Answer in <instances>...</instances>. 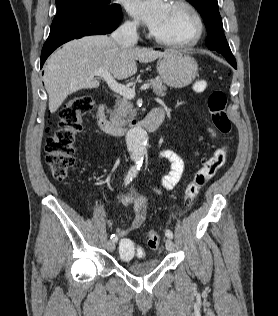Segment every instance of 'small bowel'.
Wrapping results in <instances>:
<instances>
[{"label": "small bowel", "mask_w": 278, "mask_h": 316, "mask_svg": "<svg viewBox=\"0 0 278 316\" xmlns=\"http://www.w3.org/2000/svg\"><path fill=\"white\" fill-rule=\"evenodd\" d=\"M213 137H216L214 130L209 129ZM158 156L164 158L170 163L169 172L162 178V185L166 190H172L179 183L184 172V161L181 156L171 149H161ZM154 191L160 193V190L154 188ZM121 203L124 206L132 205L134 208V218L130 225L126 228H119L116 230V236L125 239V237L138 230L146 220L148 211V198L145 195L139 194L136 191H130L121 198ZM112 219H107L108 225H113Z\"/></svg>", "instance_id": "small-bowel-1"}]
</instances>
